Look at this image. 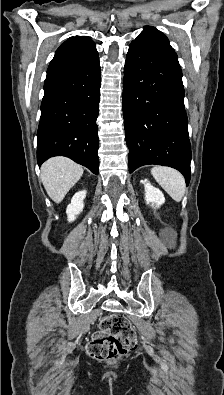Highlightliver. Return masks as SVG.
Here are the masks:
<instances>
[{
  "label": "liver",
  "mask_w": 224,
  "mask_h": 395,
  "mask_svg": "<svg viewBox=\"0 0 224 395\" xmlns=\"http://www.w3.org/2000/svg\"><path fill=\"white\" fill-rule=\"evenodd\" d=\"M83 175L81 165L66 157H53L41 166V180L49 197L60 203Z\"/></svg>",
  "instance_id": "1"
}]
</instances>
